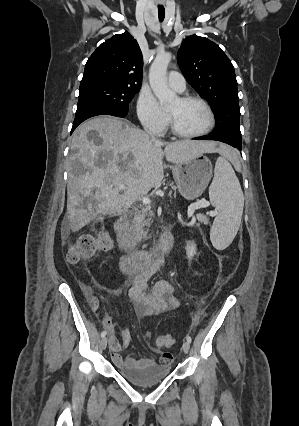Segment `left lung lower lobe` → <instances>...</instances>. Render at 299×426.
<instances>
[{
	"label": "left lung lower lobe",
	"mask_w": 299,
	"mask_h": 426,
	"mask_svg": "<svg viewBox=\"0 0 299 426\" xmlns=\"http://www.w3.org/2000/svg\"><path fill=\"white\" fill-rule=\"evenodd\" d=\"M194 139H196V140H217V141L227 143V144H229V145H231V146H233V147H235L239 150L242 148L241 144L238 143V142H235V141H232V140H229V139H225V138L215 137V136H212L211 134L206 135V136L196 137Z\"/></svg>",
	"instance_id": "obj_1"
}]
</instances>
